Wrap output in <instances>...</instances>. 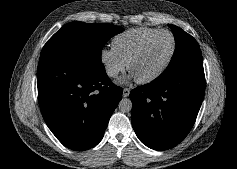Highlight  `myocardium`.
Segmentation results:
<instances>
[{"label":"myocardium","instance_id":"1","mask_svg":"<svg viewBox=\"0 0 237 169\" xmlns=\"http://www.w3.org/2000/svg\"><path fill=\"white\" fill-rule=\"evenodd\" d=\"M163 33H167L170 35L171 39H172V48H171V52L167 58V60L165 61V63L160 67V69H158L156 72H154L153 74L145 77V78H141V79H137L135 78V80L139 83V84H147L150 83L152 81H154L155 79H157L158 77H160L168 68V66L170 65L175 52H176V39L173 35L172 32H170L169 30L166 29H162V30H158L157 32H155L154 34H152L151 36H149L139 47L138 49L131 55V57L129 58V60L127 61V70L129 72H131V65L132 63L141 56V54L143 53V51L145 50V48L148 46V44L158 35L163 34Z\"/></svg>","mask_w":237,"mask_h":169}]
</instances>
